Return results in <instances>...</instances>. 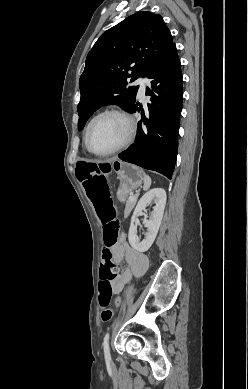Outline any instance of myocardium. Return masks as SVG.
Returning a JSON list of instances; mask_svg holds the SVG:
<instances>
[{
  "instance_id": "1",
  "label": "myocardium",
  "mask_w": 248,
  "mask_h": 389,
  "mask_svg": "<svg viewBox=\"0 0 248 389\" xmlns=\"http://www.w3.org/2000/svg\"><path fill=\"white\" fill-rule=\"evenodd\" d=\"M108 115L117 116V117H119L120 119H122L124 121V123L126 125V135H125L124 139L117 146H115L114 148H112V149H110L108 151H105V152L93 151L89 147V132H90V129H91L92 125L98 119H100V118H102L104 116H108ZM135 135H136V124H135L133 118L127 112H125L122 109H119V108H108V109H105V110L99 112L98 114H96L89 121V123L87 124L86 129H85L84 143H85V146H86L87 150L91 154L99 156V157H106V156L113 155V154L121 151L125 147H127L133 141Z\"/></svg>"
}]
</instances>
